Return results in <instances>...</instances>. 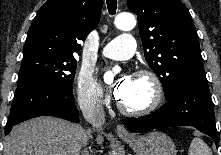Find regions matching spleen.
<instances>
[{
	"label": "spleen",
	"instance_id": "1",
	"mask_svg": "<svg viewBox=\"0 0 221 155\" xmlns=\"http://www.w3.org/2000/svg\"><path fill=\"white\" fill-rule=\"evenodd\" d=\"M188 155H212V152L201 138L195 137L190 144Z\"/></svg>",
	"mask_w": 221,
	"mask_h": 155
}]
</instances>
